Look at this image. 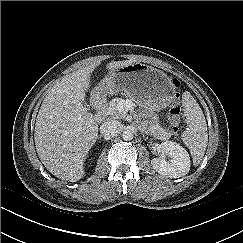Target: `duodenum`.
<instances>
[{"instance_id": "1", "label": "duodenum", "mask_w": 243, "mask_h": 243, "mask_svg": "<svg viewBox=\"0 0 243 243\" xmlns=\"http://www.w3.org/2000/svg\"><path fill=\"white\" fill-rule=\"evenodd\" d=\"M107 102H108L107 97L103 95H96L93 98V106L96 110V119L98 121H103L105 119Z\"/></svg>"}]
</instances>
